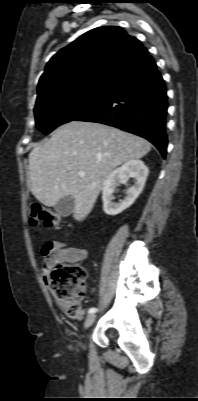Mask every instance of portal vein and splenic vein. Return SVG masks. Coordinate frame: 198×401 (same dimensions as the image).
<instances>
[{"label": "portal vein and splenic vein", "mask_w": 198, "mask_h": 401, "mask_svg": "<svg viewBox=\"0 0 198 401\" xmlns=\"http://www.w3.org/2000/svg\"><path fill=\"white\" fill-rule=\"evenodd\" d=\"M78 174H79L80 177H84L85 176V172L84 171H79Z\"/></svg>", "instance_id": "1"}]
</instances>
